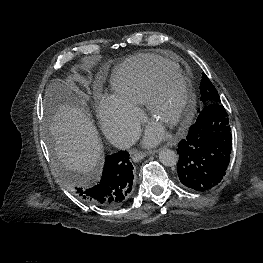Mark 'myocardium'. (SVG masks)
I'll use <instances>...</instances> for the list:
<instances>
[{
    "label": "myocardium",
    "instance_id": "f54148a6",
    "mask_svg": "<svg viewBox=\"0 0 263 263\" xmlns=\"http://www.w3.org/2000/svg\"><path fill=\"white\" fill-rule=\"evenodd\" d=\"M168 78L178 80L183 87L184 97L181 109L169 125L173 129H180L191 119L195 110L196 100L191 83L178 69L161 70L152 77L143 105L147 116L152 118L154 116L155 101L160 85L165 79Z\"/></svg>",
    "mask_w": 263,
    "mask_h": 263
}]
</instances>
